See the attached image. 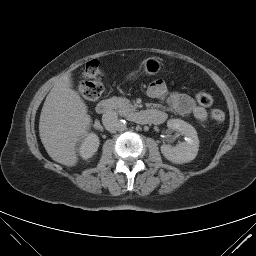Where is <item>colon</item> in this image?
I'll return each instance as SVG.
<instances>
[{"label":"colon","instance_id":"1","mask_svg":"<svg viewBox=\"0 0 256 256\" xmlns=\"http://www.w3.org/2000/svg\"><path fill=\"white\" fill-rule=\"evenodd\" d=\"M103 73L97 60L89 61L82 73V81L78 86V92L86 101L98 100L104 91L102 82ZM197 102L203 107H210L213 104V97L206 92L196 94ZM210 119L217 124L225 120L223 111L214 109L210 111Z\"/></svg>","mask_w":256,"mask_h":256}]
</instances>
